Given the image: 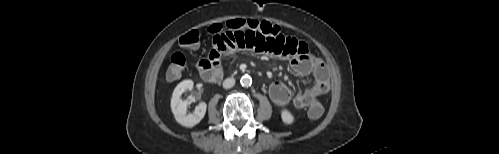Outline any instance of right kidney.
I'll use <instances>...</instances> for the list:
<instances>
[{
	"instance_id": "right-kidney-1",
	"label": "right kidney",
	"mask_w": 499,
	"mask_h": 154,
	"mask_svg": "<svg viewBox=\"0 0 499 154\" xmlns=\"http://www.w3.org/2000/svg\"><path fill=\"white\" fill-rule=\"evenodd\" d=\"M192 80H184L180 82L173 91L171 99V109L175 120L185 127H193L198 124L205 116L207 105L205 102H200L192 113L187 114L189 101L182 100L181 95L185 90H192Z\"/></svg>"
}]
</instances>
